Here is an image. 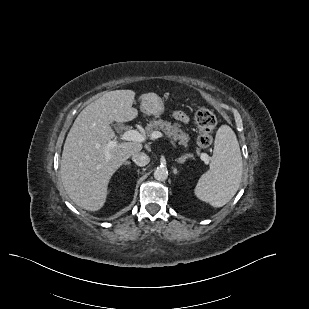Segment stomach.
<instances>
[{"label":"stomach","mask_w":309,"mask_h":309,"mask_svg":"<svg viewBox=\"0 0 309 309\" xmlns=\"http://www.w3.org/2000/svg\"><path fill=\"white\" fill-rule=\"evenodd\" d=\"M141 111L146 115L159 117L164 113V102L156 94L150 93L141 100Z\"/></svg>","instance_id":"stomach-1"}]
</instances>
